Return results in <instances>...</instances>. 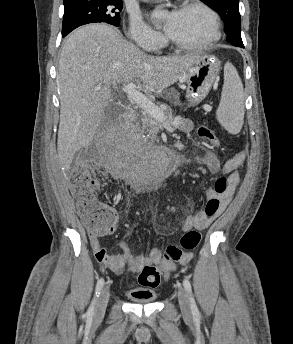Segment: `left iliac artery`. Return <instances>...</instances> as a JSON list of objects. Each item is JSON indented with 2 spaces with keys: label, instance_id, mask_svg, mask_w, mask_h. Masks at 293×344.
<instances>
[{
  "label": "left iliac artery",
  "instance_id": "left-iliac-artery-1",
  "mask_svg": "<svg viewBox=\"0 0 293 344\" xmlns=\"http://www.w3.org/2000/svg\"><path fill=\"white\" fill-rule=\"evenodd\" d=\"M183 286H184L185 290L187 291L189 298H190L192 314L194 317H198L199 316V310L197 308L196 302H195L193 295H192L191 283H190L188 277H186V276L184 277V280H183Z\"/></svg>",
  "mask_w": 293,
  "mask_h": 344
}]
</instances>
